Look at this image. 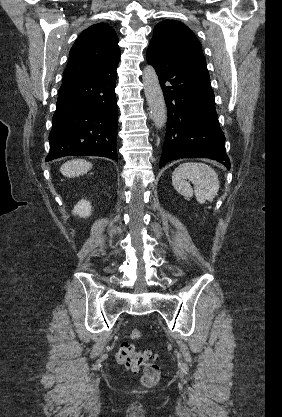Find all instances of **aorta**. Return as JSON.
Instances as JSON below:
<instances>
[{
	"mask_svg": "<svg viewBox=\"0 0 282 417\" xmlns=\"http://www.w3.org/2000/svg\"><path fill=\"white\" fill-rule=\"evenodd\" d=\"M142 80L144 84V94L146 96L147 104L150 108L152 118L157 128H162L167 118V108L159 84V78L156 74L155 68L151 64H147L143 70Z\"/></svg>",
	"mask_w": 282,
	"mask_h": 417,
	"instance_id": "1",
	"label": "aorta"
}]
</instances>
